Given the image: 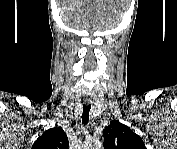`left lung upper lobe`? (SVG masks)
I'll use <instances>...</instances> for the list:
<instances>
[{
  "mask_svg": "<svg viewBox=\"0 0 177 149\" xmlns=\"http://www.w3.org/2000/svg\"><path fill=\"white\" fill-rule=\"evenodd\" d=\"M105 149H146L140 136L117 120L103 130Z\"/></svg>",
  "mask_w": 177,
  "mask_h": 149,
  "instance_id": "5c2ea615",
  "label": "left lung upper lobe"
}]
</instances>
